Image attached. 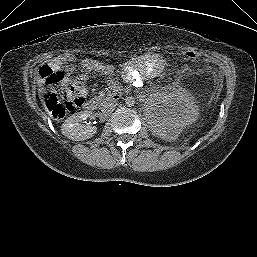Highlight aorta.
Listing matches in <instances>:
<instances>
[{"mask_svg":"<svg viewBox=\"0 0 257 257\" xmlns=\"http://www.w3.org/2000/svg\"><path fill=\"white\" fill-rule=\"evenodd\" d=\"M125 104H126V106H128V107L134 106V104H135V98L132 97V96L126 97V98H125Z\"/></svg>","mask_w":257,"mask_h":257,"instance_id":"aorta-1","label":"aorta"}]
</instances>
